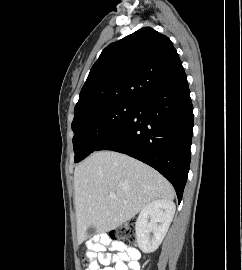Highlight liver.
Wrapping results in <instances>:
<instances>
[{"instance_id":"liver-1","label":"liver","mask_w":242,"mask_h":270,"mask_svg":"<svg viewBox=\"0 0 242 270\" xmlns=\"http://www.w3.org/2000/svg\"><path fill=\"white\" fill-rule=\"evenodd\" d=\"M74 189L79 244L88 238V228L106 233L151 201H172L175 196L172 185L153 168L114 151L94 152L80 163L74 171Z\"/></svg>"}]
</instances>
